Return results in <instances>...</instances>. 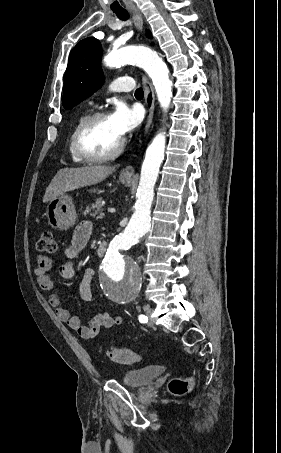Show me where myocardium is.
I'll return each mask as SVG.
<instances>
[{
    "label": "myocardium",
    "instance_id": "obj_1",
    "mask_svg": "<svg viewBox=\"0 0 281 453\" xmlns=\"http://www.w3.org/2000/svg\"><path fill=\"white\" fill-rule=\"evenodd\" d=\"M109 118V115L105 112L95 113L85 119L82 124L79 126L76 137H75V146L77 154L85 161L88 162H103L107 160L114 159L117 157L123 150L125 146V138L122 137L117 146L110 152L105 154L93 155L89 153L85 147V141L88 133L91 128L97 123L104 121Z\"/></svg>",
    "mask_w": 281,
    "mask_h": 453
}]
</instances>
